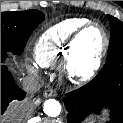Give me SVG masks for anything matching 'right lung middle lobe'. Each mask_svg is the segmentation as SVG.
Returning <instances> with one entry per match:
<instances>
[{"instance_id":"obj_1","label":"right lung middle lobe","mask_w":123,"mask_h":123,"mask_svg":"<svg viewBox=\"0 0 123 123\" xmlns=\"http://www.w3.org/2000/svg\"><path fill=\"white\" fill-rule=\"evenodd\" d=\"M44 19L38 10L1 12V62L7 52L20 55L29 36Z\"/></svg>"}]
</instances>
